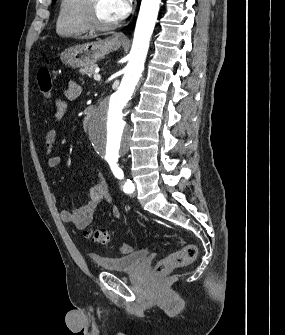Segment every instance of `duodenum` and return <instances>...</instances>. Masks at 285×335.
Instances as JSON below:
<instances>
[{"label": "duodenum", "instance_id": "duodenum-1", "mask_svg": "<svg viewBox=\"0 0 285 335\" xmlns=\"http://www.w3.org/2000/svg\"><path fill=\"white\" fill-rule=\"evenodd\" d=\"M92 114H93V110L91 108L86 111L84 119H83V126H84V128H87L88 122H89Z\"/></svg>", "mask_w": 285, "mask_h": 335}]
</instances>
